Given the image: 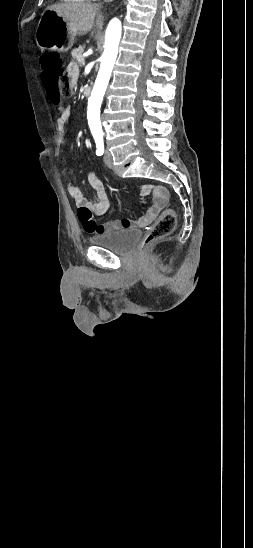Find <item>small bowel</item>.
Returning a JSON list of instances; mask_svg holds the SVG:
<instances>
[{"mask_svg":"<svg viewBox=\"0 0 253 548\" xmlns=\"http://www.w3.org/2000/svg\"><path fill=\"white\" fill-rule=\"evenodd\" d=\"M66 73L70 77L72 85L75 84L78 79V66L75 63H70L67 66ZM57 111L58 118L56 139L57 142L61 144L65 134L66 124L70 116V110L69 108L63 106H57ZM88 182L95 191V197L92 200L87 199L83 191L73 183L67 184V191L70 197L74 200L75 204L79 207L77 214L80 222L83 224L88 233L94 235H99L122 228L148 225L153 221L159 211L168 203L169 200V193L166 188L156 185H143L140 190L141 196L147 198L152 195L153 203L141 217L136 220L123 219L98 224L93 219L92 214L97 216L104 215L111 209L113 203L108 196L104 182L96 173L90 172L88 174Z\"/></svg>","mask_w":253,"mask_h":548,"instance_id":"obj_1","label":"small bowel"}]
</instances>
